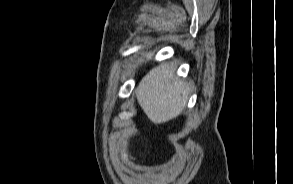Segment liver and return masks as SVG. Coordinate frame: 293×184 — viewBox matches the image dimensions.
Masks as SVG:
<instances>
[{
	"label": "liver",
	"instance_id": "6515ba94",
	"mask_svg": "<svg viewBox=\"0 0 293 184\" xmlns=\"http://www.w3.org/2000/svg\"><path fill=\"white\" fill-rule=\"evenodd\" d=\"M176 68L174 63L153 68L135 91L139 105L155 124L176 118L188 100V85L175 76Z\"/></svg>",
	"mask_w": 293,
	"mask_h": 184
}]
</instances>
